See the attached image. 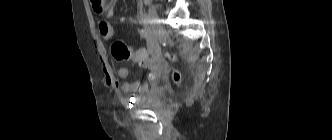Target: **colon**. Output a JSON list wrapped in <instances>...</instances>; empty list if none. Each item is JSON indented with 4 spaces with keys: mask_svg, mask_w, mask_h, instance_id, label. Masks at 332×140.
Returning <instances> with one entry per match:
<instances>
[{
    "mask_svg": "<svg viewBox=\"0 0 332 140\" xmlns=\"http://www.w3.org/2000/svg\"><path fill=\"white\" fill-rule=\"evenodd\" d=\"M91 5L97 13H102L105 9V1L107 0H90ZM112 2V0H108ZM99 32L102 37L112 36L114 34V28L107 19H101L99 24ZM112 55L118 60L137 61L139 58L138 50L125 45L124 43L117 41L111 47ZM168 57L174 58V56L166 53ZM173 79L175 82H180L181 75L178 71L173 73Z\"/></svg>",
    "mask_w": 332,
    "mask_h": 140,
    "instance_id": "colon-1",
    "label": "colon"
}]
</instances>
